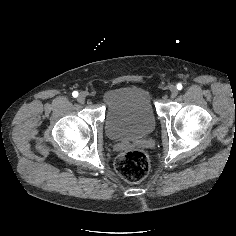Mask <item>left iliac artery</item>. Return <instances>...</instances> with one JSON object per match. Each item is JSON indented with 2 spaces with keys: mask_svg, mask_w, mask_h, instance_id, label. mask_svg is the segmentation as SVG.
<instances>
[{
  "mask_svg": "<svg viewBox=\"0 0 236 236\" xmlns=\"http://www.w3.org/2000/svg\"><path fill=\"white\" fill-rule=\"evenodd\" d=\"M176 87L178 90H181L183 88V85L181 83H178Z\"/></svg>",
  "mask_w": 236,
  "mask_h": 236,
  "instance_id": "left-iliac-artery-1",
  "label": "left iliac artery"
}]
</instances>
